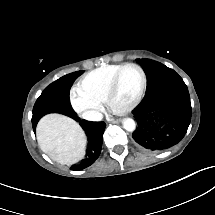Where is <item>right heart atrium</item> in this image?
Returning <instances> with one entry per match:
<instances>
[{"label":"right heart atrium","instance_id":"obj_1","mask_svg":"<svg viewBox=\"0 0 215 215\" xmlns=\"http://www.w3.org/2000/svg\"><path fill=\"white\" fill-rule=\"evenodd\" d=\"M70 108L87 120H95L100 116V105L88 95L77 92L71 95Z\"/></svg>","mask_w":215,"mask_h":215}]
</instances>
